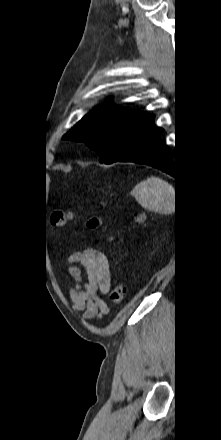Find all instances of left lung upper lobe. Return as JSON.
<instances>
[{
  "mask_svg": "<svg viewBox=\"0 0 221 440\" xmlns=\"http://www.w3.org/2000/svg\"><path fill=\"white\" fill-rule=\"evenodd\" d=\"M145 116V112L116 105L96 108L85 115L63 139L85 142L100 156L101 163L111 164L123 156L135 128Z\"/></svg>",
  "mask_w": 221,
  "mask_h": 440,
  "instance_id": "obj_1",
  "label": "left lung upper lobe"
}]
</instances>
